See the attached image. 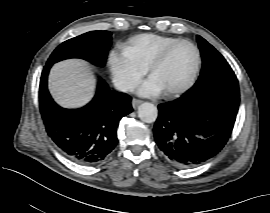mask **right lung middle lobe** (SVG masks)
Listing matches in <instances>:
<instances>
[{
    "label": "right lung middle lobe",
    "mask_w": 270,
    "mask_h": 213,
    "mask_svg": "<svg viewBox=\"0 0 270 213\" xmlns=\"http://www.w3.org/2000/svg\"><path fill=\"white\" fill-rule=\"evenodd\" d=\"M111 32L91 31L60 44L51 54L47 64L81 58L97 66H103L111 45Z\"/></svg>",
    "instance_id": "dd1d6c3e"
}]
</instances>
